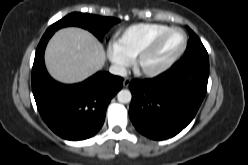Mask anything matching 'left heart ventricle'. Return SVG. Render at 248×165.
Masks as SVG:
<instances>
[{"label":"left heart ventricle","mask_w":248,"mask_h":165,"mask_svg":"<svg viewBox=\"0 0 248 165\" xmlns=\"http://www.w3.org/2000/svg\"><path fill=\"white\" fill-rule=\"evenodd\" d=\"M183 36L180 32L174 31L164 36L155 49L146 57V67H156L168 60L181 47Z\"/></svg>","instance_id":"left-heart-ventricle-1"}]
</instances>
